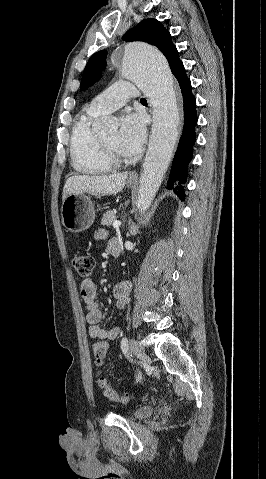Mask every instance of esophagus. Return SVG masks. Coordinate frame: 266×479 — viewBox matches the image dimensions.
<instances>
[{
	"instance_id": "esophagus-1",
	"label": "esophagus",
	"mask_w": 266,
	"mask_h": 479,
	"mask_svg": "<svg viewBox=\"0 0 266 479\" xmlns=\"http://www.w3.org/2000/svg\"><path fill=\"white\" fill-rule=\"evenodd\" d=\"M137 173L136 172H132L130 175H129V178L130 179H137Z\"/></svg>"
}]
</instances>
